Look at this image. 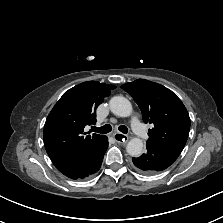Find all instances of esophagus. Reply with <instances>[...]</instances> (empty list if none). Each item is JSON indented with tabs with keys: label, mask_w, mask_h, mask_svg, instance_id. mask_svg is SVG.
Returning a JSON list of instances; mask_svg holds the SVG:
<instances>
[{
	"label": "esophagus",
	"mask_w": 223,
	"mask_h": 223,
	"mask_svg": "<svg viewBox=\"0 0 223 223\" xmlns=\"http://www.w3.org/2000/svg\"><path fill=\"white\" fill-rule=\"evenodd\" d=\"M113 138L119 143H126L129 140L127 135H124L120 132L114 133Z\"/></svg>",
	"instance_id": "obj_1"
}]
</instances>
